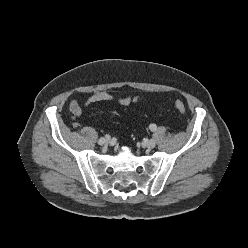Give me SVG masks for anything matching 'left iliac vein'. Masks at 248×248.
<instances>
[{
	"mask_svg": "<svg viewBox=\"0 0 248 248\" xmlns=\"http://www.w3.org/2000/svg\"><path fill=\"white\" fill-rule=\"evenodd\" d=\"M146 146H147V148H149V149L154 148V147L156 146L155 140H154V139L148 140V141L146 142Z\"/></svg>",
	"mask_w": 248,
	"mask_h": 248,
	"instance_id": "left-iliac-vein-1",
	"label": "left iliac vein"
}]
</instances>
